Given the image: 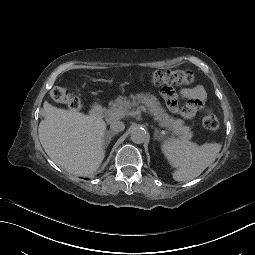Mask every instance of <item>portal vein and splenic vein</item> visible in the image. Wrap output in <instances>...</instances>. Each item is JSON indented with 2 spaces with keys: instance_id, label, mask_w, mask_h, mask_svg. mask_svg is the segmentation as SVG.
<instances>
[{
  "instance_id": "portal-vein-and-splenic-vein-1",
  "label": "portal vein and splenic vein",
  "mask_w": 255,
  "mask_h": 255,
  "mask_svg": "<svg viewBox=\"0 0 255 255\" xmlns=\"http://www.w3.org/2000/svg\"><path fill=\"white\" fill-rule=\"evenodd\" d=\"M137 110L143 114H148V109L145 106L139 105Z\"/></svg>"
}]
</instances>
